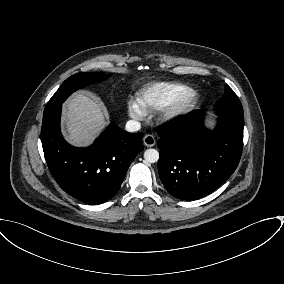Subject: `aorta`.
<instances>
[{
	"label": "aorta",
	"instance_id": "aorta-1",
	"mask_svg": "<svg viewBox=\"0 0 284 284\" xmlns=\"http://www.w3.org/2000/svg\"><path fill=\"white\" fill-rule=\"evenodd\" d=\"M144 159L148 163H155L159 159V152L156 149H147L144 152Z\"/></svg>",
	"mask_w": 284,
	"mask_h": 284
}]
</instances>
